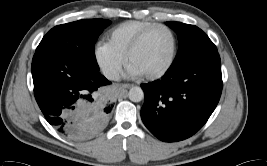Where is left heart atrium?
<instances>
[{"label": "left heart atrium", "instance_id": "39dd6f15", "mask_svg": "<svg viewBox=\"0 0 267 166\" xmlns=\"http://www.w3.org/2000/svg\"><path fill=\"white\" fill-rule=\"evenodd\" d=\"M131 70H132L133 73H135V74L137 73V68H135V67L133 68L132 67Z\"/></svg>", "mask_w": 267, "mask_h": 166}]
</instances>
